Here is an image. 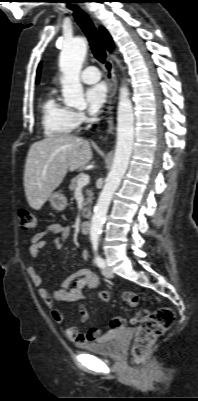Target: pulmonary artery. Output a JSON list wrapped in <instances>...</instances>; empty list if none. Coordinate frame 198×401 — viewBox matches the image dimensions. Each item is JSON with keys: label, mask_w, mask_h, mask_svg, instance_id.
<instances>
[{"label": "pulmonary artery", "mask_w": 198, "mask_h": 401, "mask_svg": "<svg viewBox=\"0 0 198 401\" xmlns=\"http://www.w3.org/2000/svg\"><path fill=\"white\" fill-rule=\"evenodd\" d=\"M101 78V73L94 66H89L83 70L81 73V80L87 84H93L99 81Z\"/></svg>", "instance_id": "1"}]
</instances>
